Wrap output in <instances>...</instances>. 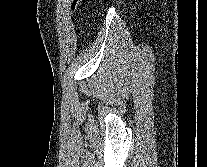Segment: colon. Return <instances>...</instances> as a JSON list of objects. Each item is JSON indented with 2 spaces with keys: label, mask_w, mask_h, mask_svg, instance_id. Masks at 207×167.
<instances>
[{
  "label": "colon",
  "mask_w": 207,
  "mask_h": 167,
  "mask_svg": "<svg viewBox=\"0 0 207 167\" xmlns=\"http://www.w3.org/2000/svg\"><path fill=\"white\" fill-rule=\"evenodd\" d=\"M81 4H82V0H74L72 5V10L73 11L77 10Z\"/></svg>",
  "instance_id": "5ec220e1"
}]
</instances>
